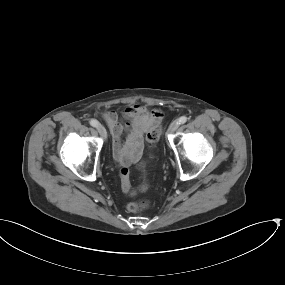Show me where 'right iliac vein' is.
<instances>
[{
	"mask_svg": "<svg viewBox=\"0 0 285 285\" xmlns=\"http://www.w3.org/2000/svg\"><path fill=\"white\" fill-rule=\"evenodd\" d=\"M97 130L99 132V134L101 135L102 138L106 139L107 138V133H106V129L103 125L99 124L97 126Z\"/></svg>",
	"mask_w": 285,
	"mask_h": 285,
	"instance_id": "63e3f726",
	"label": "right iliac vein"
}]
</instances>
